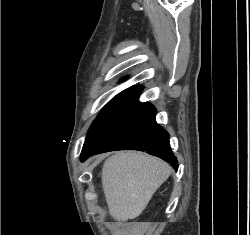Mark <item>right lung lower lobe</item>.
Returning a JSON list of instances; mask_svg holds the SVG:
<instances>
[{
    "label": "right lung lower lobe",
    "mask_w": 250,
    "mask_h": 235,
    "mask_svg": "<svg viewBox=\"0 0 250 235\" xmlns=\"http://www.w3.org/2000/svg\"><path fill=\"white\" fill-rule=\"evenodd\" d=\"M139 94L121 105L87 136L81 161L94 153L139 150L160 157L178 169L168 132L156 123V109L150 103L138 101Z\"/></svg>",
    "instance_id": "1"
}]
</instances>
